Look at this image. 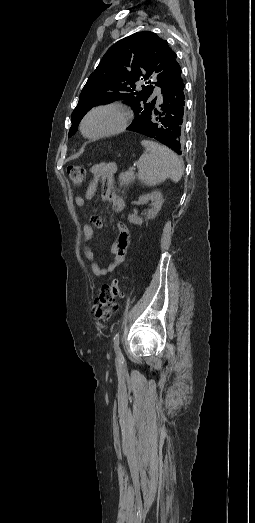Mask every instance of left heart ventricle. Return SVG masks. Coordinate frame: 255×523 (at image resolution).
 Returning <instances> with one entry per match:
<instances>
[{"instance_id":"b2bd125f","label":"left heart ventricle","mask_w":255,"mask_h":523,"mask_svg":"<svg viewBox=\"0 0 255 523\" xmlns=\"http://www.w3.org/2000/svg\"><path fill=\"white\" fill-rule=\"evenodd\" d=\"M120 118L109 111H99L94 113L87 120L85 131L88 134H98L116 128L120 124Z\"/></svg>"}]
</instances>
